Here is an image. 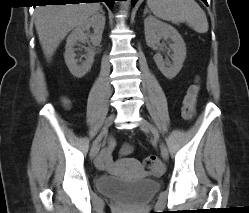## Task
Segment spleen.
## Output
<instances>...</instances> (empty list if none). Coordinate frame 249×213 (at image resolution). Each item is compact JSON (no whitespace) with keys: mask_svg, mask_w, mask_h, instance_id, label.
Here are the masks:
<instances>
[{"mask_svg":"<svg viewBox=\"0 0 249 213\" xmlns=\"http://www.w3.org/2000/svg\"><path fill=\"white\" fill-rule=\"evenodd\" d=\"M147 5L160 19L186 22L198 33L208 31L206 14L195 0H147Z\"/></svg>","mask_w":249,"mask_h":213,"instance_id":"spleen-1","label":"spleen"}]
</instances>
